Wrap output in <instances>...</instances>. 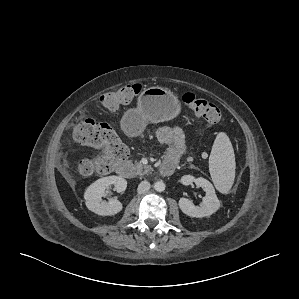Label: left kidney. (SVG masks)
<instances>
[{"label":"left kidney","mask_w":299,"mask_h":299,"mask_svg":"<svg viewBox=\"0 0 299 299\" xmlns=\"http://www.w3.org/2000/svg\"><path fill=\"white\" fill-rule=\"evenodd\" d=\"M184 185H190L192 182L197 187L203 188L205 196L200 203V206H195L193 202L187 198H180L179 207L182 212L190 217L202 218L210 216L220 208V201L217 198L213 185L206 179L199 177L194 178L191 175H184L181 178Z\"/></svg>","instance_id":"1"}]
</instances>
